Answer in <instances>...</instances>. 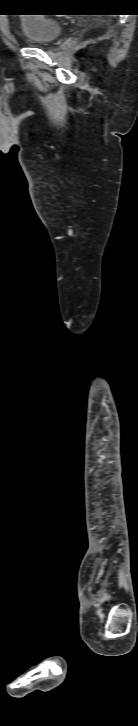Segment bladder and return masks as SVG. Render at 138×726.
Returning a JSON list of instances; mask_svg holds the SVG:
<instances>
[{
  "mask_svg": "<svg viewBox=\"0 0 138 726\" xmlns=\"http://www.w3.org/2000/svg\"><path fill=\"white\" fill-rule=\"evenodd\" d=\"M19 25L25 41L36 47L51 45L59 39L63 30L58 21L35 14L20 18Z\"/></svg>",
  "mask_w": 138,
  "mask_h": 726,
  "instance_id": "bladder-1",
  "label": "bladder"
}]
</instances>
